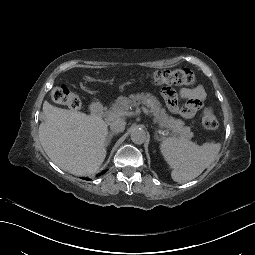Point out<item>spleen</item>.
<instances>
[{
	"label": "spleen",
	"mask_w": 255,
	"mask_h": 255,
	"mask_svg": "<svg viewBox=\"0 0 255 255\" xmlns=\"http://www.w3.org/2000/svg\"><path fill=\"white\" fill-rule=\"evenodd\" d=\"M160 152L171 169L174 182L185 183L207 168L220 150V144L204 143L199 146L185 138L165 137L161 139Z\"/></svg>",
	"instance_id": "obj_1"
}]
</instances>
